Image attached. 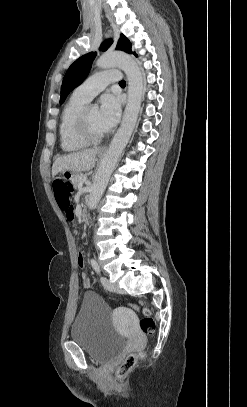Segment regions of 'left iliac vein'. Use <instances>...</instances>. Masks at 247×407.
Returning <instances> with one entry per match:
<instances>
[{"label": "left iliac vein", "mask_w": 247, "mask_h": 407, "mask_svg": "<svg viewBox=\"0 0 247 407\" xmlns=\"http://www.w3.org/2000/svg\"><path fill=\"white\" fill-rule=\"evenodd\" d=\"M100 280H101V283H102L103 287L106 290H108L110 292H117L119 290L118 286H116L115 284H112L107 277L102 276L100 278Z\"/></svg>", "instance_id": "obj_1"}]
</instances>
